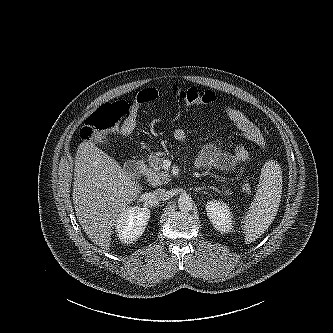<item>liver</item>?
Segmentation results:
<instances>
[{
	"label": "liver",
	"mask_w": 333,
	"mask_h": 333,
	"mask_svg": "<svg viewBox=\"0 0 333 333\" xmlns=\"http://www.w3.org/2000/svg\"><path fill=\"white\" fill-rule=\"evenodd\" d=\"M142 188L116 160L90 140L76 151L73 204L76 216L87 236L109 250L114 225Z\"/></svg>",
	"instance_id": "6515ba94"
}]
</instances>
